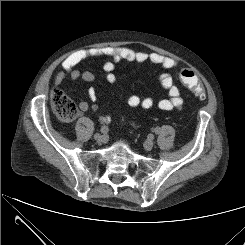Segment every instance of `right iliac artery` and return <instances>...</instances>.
<instances>
[{"label": "right iliac artery", "mask_w": 245, "mask_h": 245, "mask_svg": "<svg viewBox=\"0 0 245 245\" xmlns=\"http://www.w3.org/2000/svg\"><path fill=\"white\" fill-rule=\"evenodd\" d=\"M108 132L107 126H102L101 133L106 134Z\"/></svg>", "instance_id": "1"}]
</instances>
